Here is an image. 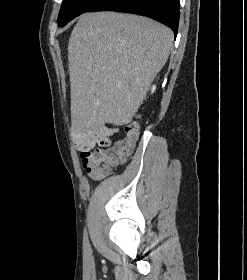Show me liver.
Here are the masks:
<instances>
[{"instance_id": "6515ba94", "label": "liver", "mask_w": 247, "mask_h": 280, "mask_svg": "<svg viewBox=\"0 0 247 280\" xmlns=\"http://www.w3.org/2000/svg\"><path fill=\"white\" fill-rule=\"evenodd\" d=\"M168 27L147 17L83 14L68 43L71 119L93 130L132 119L173 43Z\"/></svg>"}]
</instances>
